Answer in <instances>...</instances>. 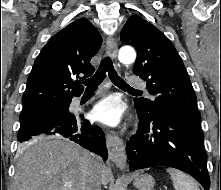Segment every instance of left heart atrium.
Masks as SVG:
<instances>
[{"label":"left heart atrium","instance_id":"1","mask_svg":"<svg viewBox=\"0 0 221 190\" xmlns=\"http://www.w3.org/2000/svg\"><path fill=\"white\" fill-rule=\"evenodd\" d=\"M92 115L95 120L103 124L117 125L121 118L120 102L112 97L106 98L95 105Z\"/></svg>","mask_w":221,"mask_h":190}]
</instances>
